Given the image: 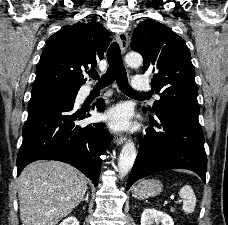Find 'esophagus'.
I'll return each instance as SVG.
<instances>
[{
  "label": "esophagus",
  "mask_w": 228,
  "mask_h": 225,
  "mask_svg": "<svg viewBox=\"0 0 228 225\" xmlns=\"http://www.w3.org/2000/svg\"><path fill=\"white\" fill-rule=\"evenodd\" d=\"M116 40H117V43L119 44L121 53H125L129 45L128 34L126 32L117 33ZM126 140H127V137L123 133H117L114 137V142L117 145L122 144Z\"/></svg>",
  "instance_id": "obj_1"
}]
</instances>
